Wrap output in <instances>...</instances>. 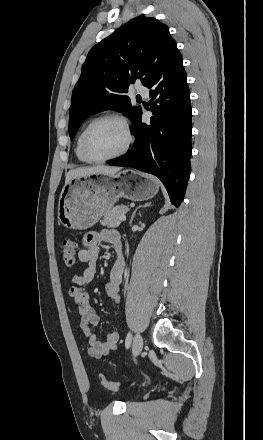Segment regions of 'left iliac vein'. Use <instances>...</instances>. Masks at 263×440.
I'll use <instances>...</instances> for the list:
<instances>
[{
	"label": "left iliac vein",
	"mask_w": 263,
	"mask_h": 440,
	"mask_svg": "<svg viewBox=\"0 0 263 440\" xmlns=\"http://www.w3.org/2000/svg\"><path fill=\"white\" fill-rule=\"evenodd\" d=\"M143 348V339L142 336L137 333L134 337L133 340V345H132V352H133V356L136 357L138 356Z\"/></svg>",
	"instance_id": "1"
}]
</instances>
